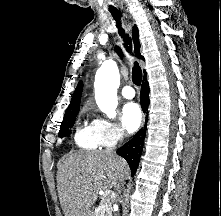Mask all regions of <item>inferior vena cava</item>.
I'll list each match as a JSON object with an SVG mask.
<instances>
[{"instance_id": "1", "label": "inferior vena cava", "mask_w": 221, "mask_h": 216, "mask_svg": "<svg viewBox=\"0 0 221 216\" xmlns=\"http://www.w3.org/2000/svg\"><path fill=\"white\" fill-rule=\"evenodd\" d=\"M123 136H124V132L121 133V138H123ZM106 152H107L108 154H113V153H114V149H107ZM122 185H123V184H121V186H122ZM121 186L118 188V191H120Z\"/></svg>"}]
</instances>
